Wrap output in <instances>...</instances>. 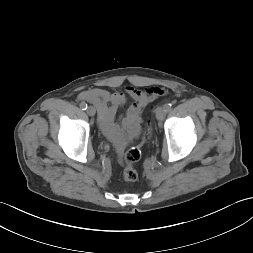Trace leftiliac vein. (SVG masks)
<instances>
[{"label":"left iliac vein","instance_id":"4c4485c4","mask_svg":"<svg viewBox=\"0 0 253 253\" xmlns=\"http://www.w3.org/2000/svg\"><path fill=\"white\" fill-rule=\"evenodd\" d=\"M166 116V109H165V106H159L157 109H156V118L159 120V121H162L164 120Z\"/></svg>","mask_w":253,"mask_h":253}]
</instances>
